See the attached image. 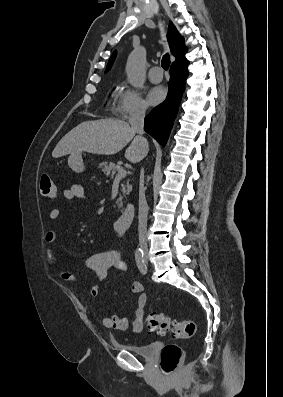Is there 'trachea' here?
<instances>
[{"label": "trachea", "instance_id": "1", "mask_svg": "<svg viewBox=\"0 0 283 397\" xmlns=\"http://www.w3.org/2000/svg\"><path fill=\"white\" fill-rule=\"evenodd\" d=\"M161 65H162V68H163L164 70H168V68H169V66H170V56H169L168 53H166V54L163 56L162 61H161Z\"/></svg>", "mask_w": 283, "mask_h": 397}]
</instances>
